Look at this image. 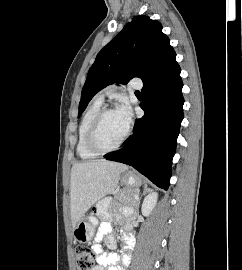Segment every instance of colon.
I'll list each match as a JSON object with an SVG mask.
<instances>
[{
  "instance_id": "1",
  "label": "colon",
  "mask_w": 242,
  "mask_h": 270,
  "mask_svg": "<svg viewBox=\"0 0 242 270\" xmlns=\"http://www.w3.org/2000/svg\"><path fill=\"white\" fill-rule=\"evenodd\" d=\"M76 269L93 270L96 257L87 246H78L75 250Z\"/></svg>"
}]
</instances>
